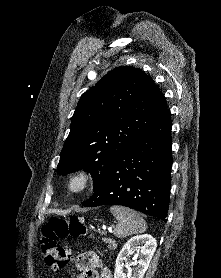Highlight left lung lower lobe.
<instances>
[{
	"mask_svg": "<svg viewBox=\"0 0 221 278\" xmlns=\"http://www.w3.org/2000/svg\"><path fill=\"white\" fill-rule=\"evenodd\" d=\"M171 117L168 110L116 157L85 207L123 205L166 221L171 187Z\"/></svg>",
	"mask_w": 221,
	"mask_h": 278,
	"instance_id": "1",
	"label": "left lung lower lobe"
}]
</instances>
